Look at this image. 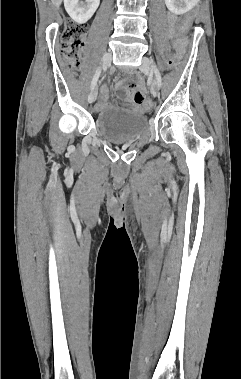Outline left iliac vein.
Wrapping results in <instances>:
<instances>
[{"label":"left iliac vein","mask_w":241,"mask_h":379,"mask_svg":"<svg viewBox=\"0 0 241 379\" xmlns=\"http://www.w3.org/2000/svg\"><path fill=\"white\" fill-rule=\"evenodd\" d=\"M152 66H153V61L147 57L142 58V63L140 65V70L145 73V74H151L152 73ZM157 81L153 80V96H157L158 91H157Z\"/></svg>","instance_id":"4c4485c4"}]
</instances>
